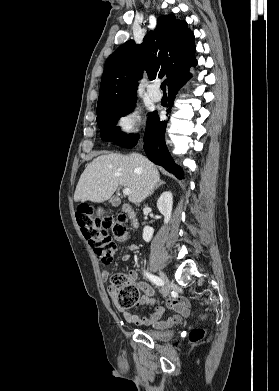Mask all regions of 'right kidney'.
Segmentation results:
<instances>
[{
  "label": "right kidney",
  "mask_w": 279,
  "mask_h": 391,
  "mask_svg": "<svg viewBox=\"0 0 279 391\" xmlns=\"http://www.w3.org/2000/svg\"><path fill=\"white\" fill-rule=\"evenodd\" d=\"M173 206V196L170 191L163 192L157 200V208L164 215V223L168 224L171 218ZM154 229L150 226H145L143 229V239L145 242L151 241Z\"/></svg>",
  "instance_id": "right-kidney-1"
}]
</instances>
